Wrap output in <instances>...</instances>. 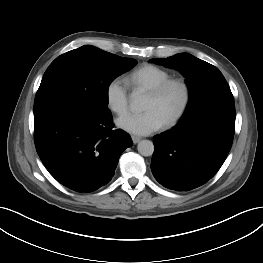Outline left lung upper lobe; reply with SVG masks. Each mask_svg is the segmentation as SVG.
Masks as SVG:
<instances>
[{"label": "left lung upper lobe", "mask_w": 263, "mask_h": 263, "mask_svg": "<svg viewBox=\"0 0 263 263\" xmlns=\"http://www.w3.org/2000/svg\"><path fill=\"white\" fill-rule=\"evenodd\" d=\"M149 61L177 69L186 77L189 102L183 118L196 115L214 105L234 104L229 85L215 66L187 53Z\"/></svg>", "instance_id": "left-lung-upper-lobe-1"}]
</instances>
